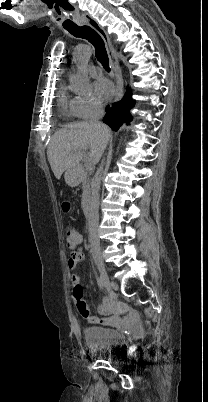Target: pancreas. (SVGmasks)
Wrapping results in <instances>:
<instances>
[{
    "label": "pancreas",
    "mask_w": 208,
    "mask_h": 402,
    "mask_svg": "<svg viewBox=\"0 0 208 402\" xmlns=\"http://www.w3.org/2000/svg\"><path fill=\"white\" fill-rule=\"evenodd\" d=\"M79 176H82V190L83 194H90V176H92V172L90 170H82Z\"/></svg>",
    "instance_id": "cf45deb5"
}]
</instances>
